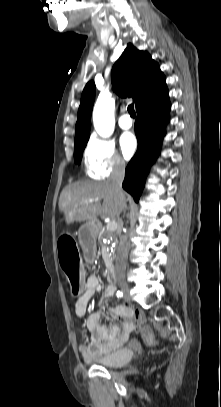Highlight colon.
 <instances>
[{
    "instance_id": "colon-1",
    "label": "colon",
    "mask_w": 221,
    "mask_h": 407,
    "mask_svg": "<svg viewBox=\"0 0 221 407\" xmlns=\"http://www.w3.org/2000/svg\"><path fill=\"white\" fill-rule=\"evenodd\" d=\"M67 235L59 240V260L62 269L69 279L72 290L77 293L82 284L79 255L76 245L71 238L74 235L73 232L70 231ZM141 336L147 345L153 346L156 344L153 332L149 327L144 326L141 329Z\"/></svg>"
}]
</instances>
